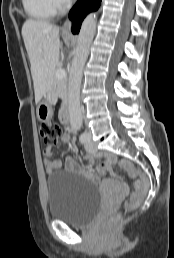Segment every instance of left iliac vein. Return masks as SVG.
Masks as SVG:
<instances>
[{"label":"left iliac vein","instance_id":"obj_1","mask_svg":"<svg viewBox=\"0 0 174 258\" xmlns=\"http://www.w3.org/2000/svg\"><path fill=\"white\" fill-rule=\"evenodd\" d=\"M85 133L87 134V141L85 143L86 150L89 152H95L96 147L93 145V143L91 141V134L88 132H85Z\"/></svg>","mask_w":174,"mask_h":258}]
</instances>
